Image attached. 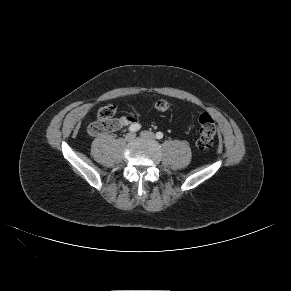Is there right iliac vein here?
Returning a JSON list of instances; mask_svg holds the SVG:
<instances>
[{
  "label": "right iliac vein",
  "instance_id": "right-iliac-vein-1",
  "mask_svg": "<svg viewBox=\"0 0 291 291\" xmlns=\"http://www.w3.org/2000/svg\"><path fill=\"white\" fill-rule=\"evenodd\" d=\"M134 138H135V133H133V132H130V133L126 134V136H125V140L127 142L134 140Z\"/></svg>",
  "mask_w": 291,
  "mask_h": 291
}]
</instances>
